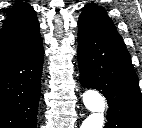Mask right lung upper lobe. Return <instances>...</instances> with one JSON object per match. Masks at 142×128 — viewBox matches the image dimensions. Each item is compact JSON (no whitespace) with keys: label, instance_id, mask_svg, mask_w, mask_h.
I'll return each mask as SVG.
<instances>
[{"label":"right lung upper lobe","instance_id":"cb5924a9","mask_svg":"<svg viewBox=\"0 0 142 128\" xmlns=\"http://www.w3.org/2000/svg\"><path fill=\"white\" fill-rule=\"evenodd\" d=\"M41 41L34 9L27 3H16L0 30V66L31 51Z\"/></svg>","mask_w":142,"mask_h":128}]
</instances>
